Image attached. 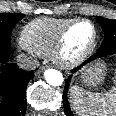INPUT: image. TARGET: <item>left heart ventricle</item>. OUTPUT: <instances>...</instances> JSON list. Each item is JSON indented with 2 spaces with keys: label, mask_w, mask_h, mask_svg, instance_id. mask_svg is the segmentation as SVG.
<instances>
[{
  "label": "left heart ventricle",
  "mask_w": 116,
  "mask_h": 116,
  "mask_svg": "<svg viewBox=\"0 0 116 116\" xmlns=\"http://www.w3.org/2000/svg\"><path fill=\"white\" fill-rule=\"evenodd\" d=\"M92 37V28L89 24H77L66 38V53L74 57L82 52Z\"/></svg>",
  "instance_id": "b2bd125f"
}]
</instances>
